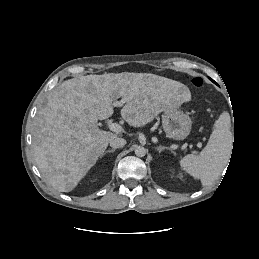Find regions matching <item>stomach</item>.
Here are the masks:
<instances>
[{
    "label": "stomach",
    "mask_w": 259,
    "mask_h": 259,
    "mask_svg": "<svg viewBox=\"0 0 259 259\" xmlns=\"http://www.w3.org/2000/svg\"><path fill=\"white\" fill-rule=\"evenodd\" d=\"M183 93H189L186 86L182 87ZM162 127L167 137L174 140H184L191 132L192 121L177 106L164 111Z\"/></svg>",
    "instance_id": "stomach-1"
}]
</instances>
